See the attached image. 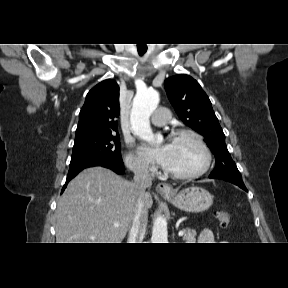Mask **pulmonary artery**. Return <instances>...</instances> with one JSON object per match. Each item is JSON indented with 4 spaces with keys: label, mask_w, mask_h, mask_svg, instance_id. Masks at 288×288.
<instances>
[{
    "label": "pulmonary artery",
    "mask_w": 288,
    "mask_h": 288,
    "mask_svg": "<svg viewBox=\"0 0 288 288\" xmlns=\"http://www.w3.org/2000/svg\"><path fill=\"white\" fill-rule=\"evenodd\" d=\"M170 119V112L165 107H159L152 118L153 126L159 127L165 125Z\"/></svg>",
    "instance_id": "obj_1"
}]
</instances>
